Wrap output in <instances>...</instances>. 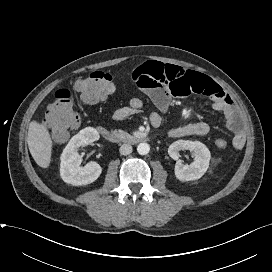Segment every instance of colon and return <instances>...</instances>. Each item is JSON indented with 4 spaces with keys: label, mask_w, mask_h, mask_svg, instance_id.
Listing matches in <instances>:
<instances>
[{
    "label": "colon",
    "mask_w": 272,
    "mask_h": 272,
    "mask_svg": "<svg viewBox=\"0 0 272 272\" xmlns=\"http://www.w3.org/2000/svg\"><path fill=\"white\" fill-rule=\"evenodd\" d=\"M72 89L76 91L87 103H95L106 99L116 90L115 83L110 74L102 71H93L76 78L72 83ZM130 108L140 111L143 101L140 98H131L128 102ZM79 116L74 109L71 90L63 88L56 91L53 102L48 106L45 123L52 137L56 141L66 138L70 129L77 126ZM228 142L224 138L215 140L218 149H225Z\"/></svg>",
    "instance_id": "1"
}]
</instances>
